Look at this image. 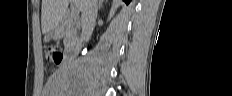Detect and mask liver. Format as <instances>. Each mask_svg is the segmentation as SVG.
<instances>
[{"instance_id":"liver-1","label":"liver","mask_w":232,"mask_h":96,"mask_svg":"<svg viewBox=\"0 0 232 96\" xmlns=\"http://www.w3.org/2000/svg\"><path fill=\"white\" fill-rule=\"evenodd\" d=\"M68 4L69 0H42L41 26L43 34H47L59 26ZM77 4L82 11L83 0H78Z\"/></svg>"}]
</instances>
